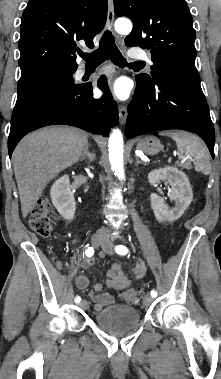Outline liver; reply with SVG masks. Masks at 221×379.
<instances>
[{
    "instance_id": "6515ba94",
    "label": "liver",
    "mask_w": 221,
    "mask_h": 379,
    "mask_svg": "<svg viewBox=\"0 0 221 379\" xmlns=\"http://www.w3.org/2000/svg\"><path fill=\"white\" fill-rule=\"evenodd\" d=\"M87 143L86 132L65 126L42 128L21 140L12 161L24 218L47 184L78 161Z\"/></svg>"
}]
</instances>
